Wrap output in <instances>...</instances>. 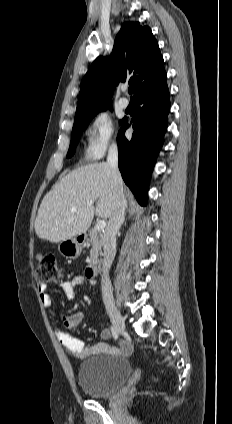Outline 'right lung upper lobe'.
I'll list each match as a JSON object with an SVG mask.
<instances>
[{"mask_svg": "<svg viewBox=\"0 0 232 424\" xmlns=\"http://www.w3.org/2000/svg\"><path fill=\"white\" fill-rule=\"evenodd\" d=\"M164 73L163 57L151 29L138 22L123 23L110 58L98 57L81 81L75 120L111 107V85L129 81L135 87V98Z\"/></svg>", "mask_w": 232, "mask_h": 424, "instance_id": "cb5924a9", "label": "right lung upper lobe"}]
</instances>
